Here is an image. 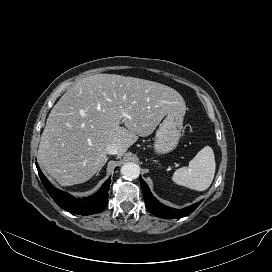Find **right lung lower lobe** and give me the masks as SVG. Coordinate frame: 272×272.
Returning <instances> with one entry per match:
<instances>
[{"mask_svg": "<svg viewBox=\"0 0 272 272\" xmlns=\"http://www.w3.org/2000/svg\"><path fill=\"white\" fill-rule=\"evenodd\" d=\"M40 179L53 200L68 212L79 215H91L103 211L108 203V191L111 179H107L101 189L86 198H75L72 195L56 189L43 175L36 163Z\"/></svg>", "mask_w": 272, "mask_h": 272, "instance_id": "obj_1", "label": "right lung lower lobe"}]
</instances>
